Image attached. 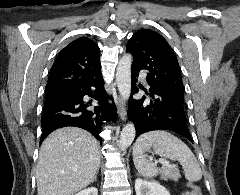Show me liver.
I'll use <instances>...</instances> for the list:
<instances>
[{"instance_id":"obj_1","label":"liver","mask_w":240,"mask_h":195,"mask_svg":"<svg viewBox=\"0 0 240 195\" xmlns=\"http://www.w3.org/2000/svg\"><path fill=\"white\" fill-rule=\"evenodd\" d=\"M99 141L81 127H60L44 139L36 167L38 195H72L100 165Z\"/></svg>"}]
</instances>
